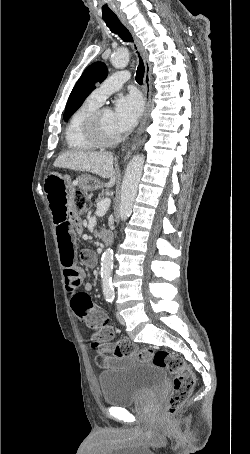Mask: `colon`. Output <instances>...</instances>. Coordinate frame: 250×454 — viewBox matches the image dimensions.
<instances>
[{
  "label": "colon",
  "instance_id": "obj_1",
  "mask_svg": "<svg viewBox=\"0 0 250 454\" xmlns=\"http://www.w3.org/2000/svg\"><path fill=\"white\" fill-rule=\"evenodd\" d=\"M89 208L87 195L77 191L74 194L72 217L80 218L89 211ZM87 325L92 330L91 346L98 353L116 357L134 356L141 361H152L156 367L168 371L173 377V390L167 403V414L174 416L183 407L192 394L195 375L180 355L166 350L139 349L127 340L111 342L113 329L108 324V317L105 314L90 316Z\"/></svg>",
  "mask_w": 250,
  "mask_h": 454
}]
</instances>
